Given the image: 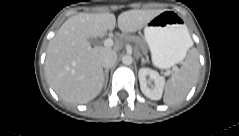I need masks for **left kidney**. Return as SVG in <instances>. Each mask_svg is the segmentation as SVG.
<instances>
[{
	"instance_id": "5707ae66",
	"label": "left kidney",
	"mask_w": 239,
	"mask_h": 136,
	"mask_svg": "<svg viewBox=\"0 0 239 136\" xmlns=\"http://www.w3.org/2000/svg\"><path fill=\"white\" fill-rule=\"evenodd\" d=\"M138 76L142 93L152 100H160L165 85V78L150 68H141ZM147 77L154 81V85H149Z\"/></svg>"
}]
</instances>
